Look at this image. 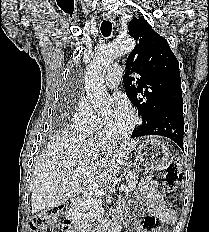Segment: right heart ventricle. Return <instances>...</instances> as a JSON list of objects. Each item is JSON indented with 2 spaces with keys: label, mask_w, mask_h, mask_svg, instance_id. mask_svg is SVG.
Segmentation results:
<instances>
[{
  "label": "right heart ventricle",
  "mask_w": 209,
  "mask_h": 232,
  "mask_svg": "<svg viewBox=\"0 0 209 232\" xmlns=\"http://www.w3.org/2000/svg\"><path fill=\"white\" fill-rule=\"evenodd\" d=\"M89 133H91V134H105L102 122L98 123Z\"/></svg>",
  "instance_id": "obj_1"
}]
</instances>
